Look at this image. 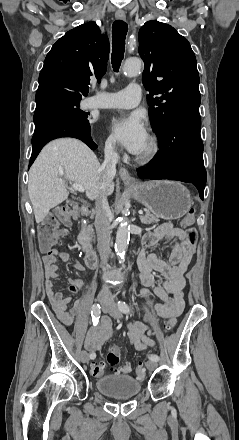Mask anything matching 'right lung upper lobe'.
I'll list each match as a JSON object with an SVG mask.
<instances>
[{
  "instance_id": "cb5924a9",
  "label": "right lung upper lobe",
  "mask_w": 239,
  "mask_h": 440,
  "mask_svg": "<svg viewBox=\"0 0 239 440\" xmlns=\"http://www.w3.org/2000/svg\"><path fill=\"white\" fill-rule=\"evenodd\" d=\"M109 41L95 22L82 24L61 37L47 54L35 100L55 96H86L90 77L105 74Z\"/></svg>"
}]
</instances>
